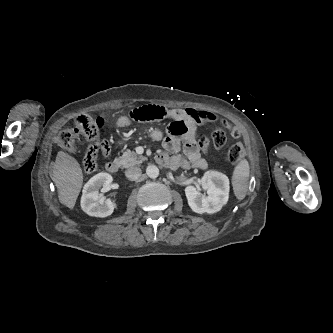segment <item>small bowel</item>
<instances>
[{"label": "small bowel", "mask_w": 333, "mask_h": 333, "mask_svg": "<svg viewBox=\"0 0 333 333\" xmlns=\"http://www.w3.org/2000/svg\"><path fill=\"white\" fill-rule=\"evenodd\" d=\"M182 119L186 124L193 126L192 121L199 123L207 122H218L225 125V129L232 135V137H237V132L234 127L231 126L227 119H223L215 114L207 111H196V110H186L181 112ZM131 122L127 121L125 118L115 122L116 128H121L123 126L129 125ZM165 151H162L157 160L164 166L177 169H189L198 168L205 169L207 167L206 160L201 156L200 148L194 141L192 135L184 136L183 140L180 139L179 135L170 132L164 140ZM182 151L185 156L179 154Z\"/></svg>", "instance_id": "1"}]
</instances>
